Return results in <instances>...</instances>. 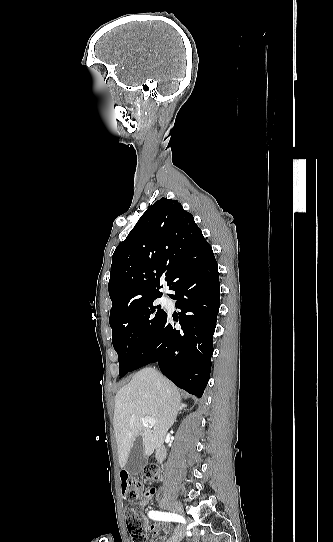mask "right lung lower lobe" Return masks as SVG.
<instances>
[{"instance_id":"1","label":"right lung lower lobe","mask_w":333,"mask_h":542,"mask_svg":"<svg viewBox=\"0 0 333 542\" xmlns=\"http://www.w3.org/2000/svg\"><path fill=\"white\" fill-rule=\"evenodd\" d=\"M179 277L169 295L176 300L179 316L166 317L152 346L136 361L133 370L158 362L161 372L178 387L202 397L211 371L213 334L219 311L218 265L211 246L204 239L180 249ZM180 323L181 330L175 328Z\"/></svg>"}]
</instances>
